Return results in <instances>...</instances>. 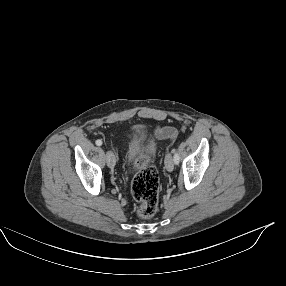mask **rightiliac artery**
Returning a JSON list of instances; mask_svg holds the SVG:
<instances>
[{"label": "right iliac artery", "mask_w": 286, "mask_h": 286, "mask_svg": "<svg viewBox=\"0 0 286 286\" xmlns=\"http://www.w3.org/2000/svg\"><path fill=\"white\" fill-rule=\"evenodd\" d=\"M96 145L97 146H101L102 145V141L101 140H96Z\"/></svg>", "instance_id": "obj_1"}]
</instances>
